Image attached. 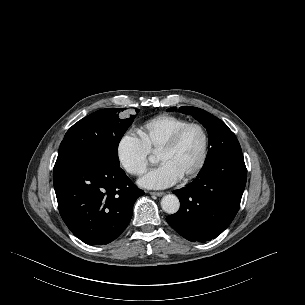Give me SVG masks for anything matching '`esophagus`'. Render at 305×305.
<instances>
[{"label": "esophagus", "instance_id": "34e87169", "mask_svg": "<svg viewBox=\"0 0 305 305\" xmlns=\"http://www.w3.org/2000/svg\"><path fill=\"white\" fill-rule=\"evenodd\" d=\"M150 195L161 197V196L165 195V192H150Z\"/></svg>", "mask_w": 305, "mask_h": 305}]
</instances>
